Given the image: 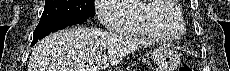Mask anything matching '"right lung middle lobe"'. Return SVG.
I'll list each match as a JSON object with an SVG mask.
<instances>
[{
  "label": "right lung middle lobe",
  "mask_w": 230,
  "mask_h": 71,
  "mask_svg": "<svg viewBox=\"0 0 230 71\" xmlns=\"http://www.w3.org/2000/svg\"><path fill=\"white\" fill-rule=\"evenodd\" d=\"M94 0H46L40 23L95 15Z\"/></svg>",
  "instance_id": "obj_1"
}]
</instances>
